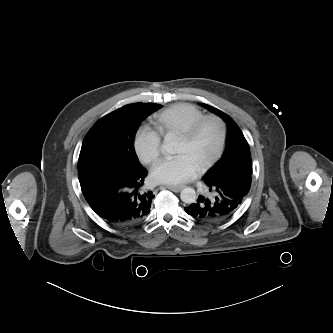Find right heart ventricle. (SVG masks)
<instances>
[{
    "label": "right heart ventricle",
    "instance_id": "obj_1",
    "mask_svg": "<svg viewBox=\"0 0 333 333\" xmlns=\"http://www.w3.org/2000/svg\"><path fill=\"white\" fill-rule=\"evenodd\" d=\"M204 113L191 104L173 105L154 117V128L161 135H180L202 118Z\"/></svg>",
    "mask_w": 333,
    "mask_h": 333
}]
</instances>
